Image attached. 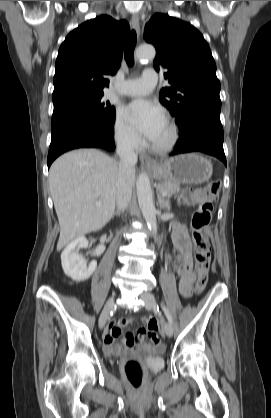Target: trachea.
Segmentation results:
<instances>
[{
    "instance_id": "1",
    "label": "trachea",
    "mask_w": 271,
    "mask_h": 418,
    "mask_svg": "<svg viewBox=\"0 0 271 418\" xmlns=\"http://www.w3.org/2000/svg\"><path fill=\"white\" fill-rule=\"evenodd\" d=\"M136 45V32L132 30L126 40L124 47V57L129 66L134 64V48Z\"/></svg>"
}]
</instances>
